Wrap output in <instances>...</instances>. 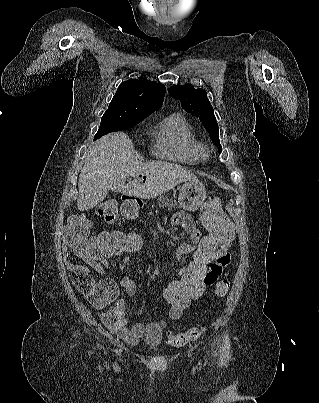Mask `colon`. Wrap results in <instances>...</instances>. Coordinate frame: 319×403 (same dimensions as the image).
Segmentation results:
<instances>
[{"mask_svg":"<svg viewBox=\"0 0 319 403\" xmlns=\"http://www.w3.org/2000/svg\"><path fill=\"white\" fill-rule=\"evenodd\" d=\"M112 200L103 201L99 213L106 223L115 220L119 207L118 197L115 196ZM200 219L208 230L204 232V238L197 242L196 258H190L186 275H180L179 282H162V291L167 293L164 296V304L161 305L162 313H185L186 309L193 308L192 300L206 296L204 272L214 265L220 252H227L228 247L235 243L233 219L225 217L218 197L209 198L201 210ZM134 233V227H129L127 232L124 226H117L116 229H97L96 234H90L88 237L86 219L81 215H74L64 229L66 239L62 244L64 248H72L75 254L83 259L97 254H101V258H124V254H144V237ZM229 262L230 255L227 265ZM92 279L94 278L87 272L73 271L71 274L74 286L87 297ZM229 286L228 280L218 282L214 296L225 297ZM201 334L202 327H195L183 333L172 332L168 336V343L173 347H181L199 338Z\"/></svg>","mask_w":319,"mask_h":403,"instance_id":"5ec220e1","label":"colon"}]
</instances>
